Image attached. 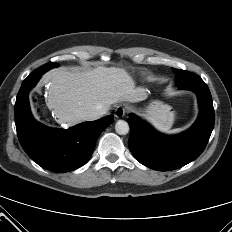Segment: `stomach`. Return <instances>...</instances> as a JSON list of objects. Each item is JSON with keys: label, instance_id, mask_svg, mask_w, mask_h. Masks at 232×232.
<instances>
[{"label": "stomach", "instance_id": "1", "mask_svg": "<svg viewBox=\"0 0 232 232\" xmlns=\"http://www.w3.org/2000/svg\"><path fill=\"white\" fill-rule=\"evenodd\" d=\"M145 115L159 130H169L175 120L172 107L160 101H152L145 110Z\"/></svg>", "mask_w": 232, "mask_h": 232}]
</instances>
